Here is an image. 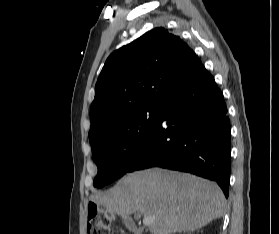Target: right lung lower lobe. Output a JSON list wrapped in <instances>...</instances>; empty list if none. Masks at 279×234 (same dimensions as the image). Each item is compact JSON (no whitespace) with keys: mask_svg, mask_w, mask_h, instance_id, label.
<instances>
[{"mask_svg":"<svg viewBox=\"0 0 279 234\" xmlns=\"http://www.w3.org/2000/svg\"><path fill=\"white\" fill-rule=\"evenodd\" d=\"M230 132L223 94L202 65L161 107L155 130L128 172L150 167L190 172L216 181L227 198Z\"/></svg>","mask_w":279,"mask_h":234,"instance_id":"obj_1","label":"right lung lower lobe"}]
</instances>
